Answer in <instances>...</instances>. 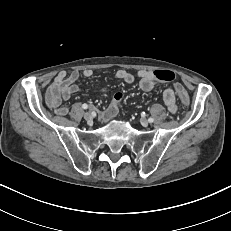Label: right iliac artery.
<instances>
[{"label":"right iliac artery","mask_w":231,"mask_h":231,"mask_svg":"<svg viewBox=\"0 0 231 231\" xmlns=\"http://www.w3.org/2000/svg\"><path fill=\"white\" fill-rule=\"evenodd\" d=\"M82 108H83V109H87V108H88V105H87V104H83V105H82Z\"/></svg>","instance_id":"right-iliac-artery-1"}]
</instances>
